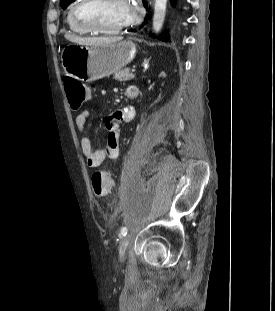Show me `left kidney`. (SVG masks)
<instances>
[{
  "instance_id": "5707ae66",
  "label": "left kidney",
  "mask_w": 275,
  "mask_h": 311,
  "mask_svg": "<svg viewBox=\"0 0 275 311\" xmlns=\"http://www.w3.org/2000/svg\"><path fill=\"white\" fill-rule=\"evenodd\" d=\"M159 78H160L161 80H164V79L166 78L165 73H161V74L159 75Z\"/></svg>"
}]
</instances>
